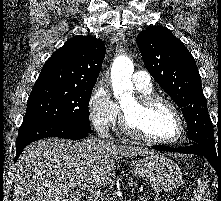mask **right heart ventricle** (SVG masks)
Returning a JSON list of instances; mask_svg holds the SVG:
<instances>
[{"label":"right heart ventricle","instance_id":"right-heart-ventricle-1","mask_svg":"<svg viewBox=\"0 0 221 201\" xmlns=\"http://www.w3.org/2000/svg\"><path fill=\"white\" fill-rule=\"evenodd\" d=\"M141 94H150L152 93V87L148 89H138Z\"/></svg>","mask_w":221,"mask_h":201}]
</instances>
